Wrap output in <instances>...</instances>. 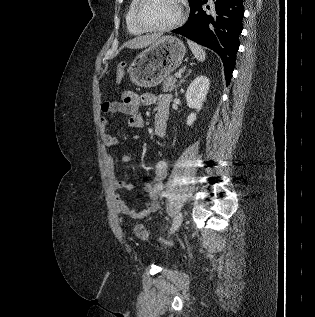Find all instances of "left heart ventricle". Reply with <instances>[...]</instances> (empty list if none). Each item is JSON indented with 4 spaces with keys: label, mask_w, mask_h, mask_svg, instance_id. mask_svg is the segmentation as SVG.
<instances>
[{
    "label": "left heart ventricle",
    "mask_w": 315,
    "mask_h": 317,
    "mask_svg": "<svg viewBox=\"0 0 315 317\" xmlns=\"http://www.w3.org/2000/svg\"><path fill=\"white\" fill-rule=\"evenodd\" d=\"M179 14L177 0H146L140 9V20L147 26H165Z\"/></svg>",
    "instance_id": "b2bd125f"
}]
</instances>
